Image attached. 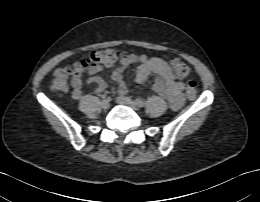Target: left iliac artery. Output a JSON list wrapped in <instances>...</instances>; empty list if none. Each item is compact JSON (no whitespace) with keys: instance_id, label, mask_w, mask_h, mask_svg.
Listing matches in <instances>:
<instances>
[{"instance_id":"left-iliac-artery-1","label":"left iliac artery","mask_w":260,"mask_h":202,"mask_svg":"<svg viewBox=\"0 0 260 202\" xmlns=\"http://www.w3.org/2000/svg\"><path fill=\"white\" fill-rule=\"evenodd\" d=\"M135 104H136L137 106H139V107H143L145 103H144V101L141 100V99H136V100H135Z\"/></svg>"}]
</instances>
